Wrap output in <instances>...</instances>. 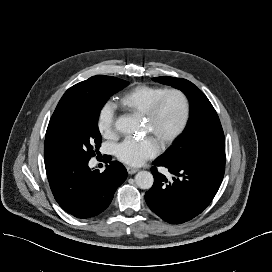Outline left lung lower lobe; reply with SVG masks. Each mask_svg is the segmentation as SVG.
I'll return each instance as SVG.
<instances>
[{
    "label": "left lung lower lobe",
    "instance_id": "obj_1",
    "mask_svg": "<svg viewBox=\"0 0 272 272\" xmlns=\"http://www.w3.org/2000/svg\"><path fill=\"white\" fill-rule=\"evenodd\" d=\"M151 168L154 184L145 193L150 209L164 221L181 224L199 215L216 195L224 176L225 158L168 161L156 159ZM164 166L171 181L157 171Z\"/></svg>",
    "mask_w": 272,
    "mask_h": 272
}]
</instances>
